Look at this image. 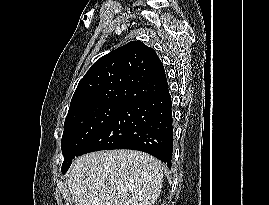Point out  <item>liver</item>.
I'll use <instances>...</instances> for the list:
<instances>
[{
	"label": "liver",
	"mask_w": 269,
	"mask_h": 205,
	"mask_svg": "<svg viewBox=\"0 0 269 205\" xmlns=\"http://www.w3.org/2000/svg\"><path fill=\"white\" fill-rule=\"evenodd\" d=\"M163 164L135 150L92 152L78 157L68 175L75 205H153Z\"/></svg>",
	"instance_id": "liver-1"
}]
</instances>
